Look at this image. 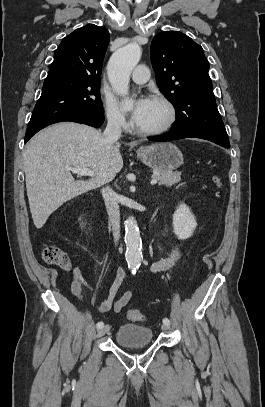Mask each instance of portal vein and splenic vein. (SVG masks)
Returning a JSON list of instances; mask_svg holds the SVG:
<instances>
[{
  "instance_id": "18ae733b",
  "label": "portal vein and splenic vein",
  "mask_w": 265,
  "mask_h": 407,
  "mask_svg": "<svg viewBox=\"0 0 265 407\" xmlns=\"http://www.w3.org/2000/svg\"><path fill=\"white\" fill-rule=\"evenodd\" d=\"M70 171L77 173L78 175L81 176H93L94 172L91 169L88 168H76V167H67ZM157 179H152L151 184L154 185L157 183Z\"/></svg>"
}]
</instances>
